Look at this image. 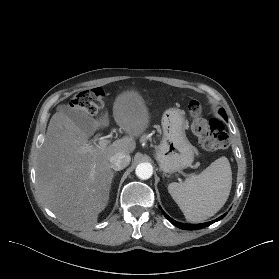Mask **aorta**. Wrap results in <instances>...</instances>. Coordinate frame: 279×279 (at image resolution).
<instances>
[{
    "instance_id": "762f6f07",
    "label": "aorta",
    "mask_w": 279,
    "mask_h": 279,
    "mask_svg": "<svg viewBox=\"0 0 279 279\" xmlns=\"http://www.w3.org/2000/svg\"><path fill=\"white\" fill-rule=\"evenodd\" d=\"M135 173L138 178L146 180L152 176L153 167L148 162L140 163L137 165Z\"/></svg>"
}]
</instances>
